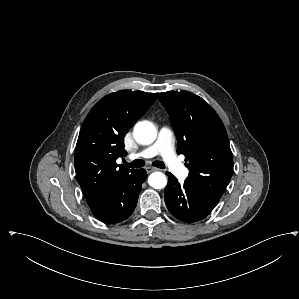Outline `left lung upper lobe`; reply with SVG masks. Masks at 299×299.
Segmentation results:
<instances>
[{"instance_id": "left-lung-upper-lobe-1", "label": "left lung upper lobe", "mask_w": 299, "mask_h": 299, "mask_svg": "<svg viewBox=\"0 0 299 299\" xmlns=\"http://www.w3.org/2000/svg\"><path fill=\"white\" fill-rule=\"evenodd\" d=\"M177 136L179 154L190 169L186 181L220 199L233 174V158L225 127L201 97L190 92L159 94Z\"/></svg>"}]
</instances>
